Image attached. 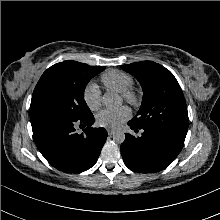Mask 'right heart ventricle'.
I'll return each instance as SVG.
<instances>
[{
  "instance_id": "e07e8e85",
  "label": "right heart ventricle",
  "mask_w": 220,
  "mask_h": 220,
  "mask_svg": "<svg viewBox=\"0 0 220 220\" xmlns=\"http://www.w3.org/2000/svg\"><path fill=\"white\" fill-rule=\"evenodd\" d=\"M100 80L106 89L119 93L131 88L134 82L130 74L117 69L104 72Z\"/></svg>"
}]
</instances>
